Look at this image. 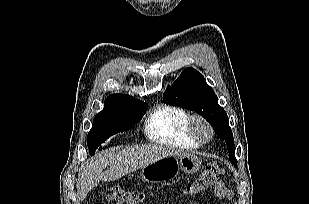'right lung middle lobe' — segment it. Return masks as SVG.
I'll list each match as a JSON object with an SVG mask.
<instances>
[{
	"mask_svg": "<svg viewBox=\"0 0 309 204\" xmlns=\"http://www.w3.org/2000/svg\"><path fill=\"white\" fill-rule=\"evenodd\" d=\"M147 104L142 101H120L104 105L96 114L88 133V149L93 154L101 144L116 133L130 130L146 113Z\"/></svg>",
	"mask_w": 309,
	"mask_h": 204,
	"instance_id": "dd1d6c3e",
	"label": "right lung middle lobe"
}]
</instances>
